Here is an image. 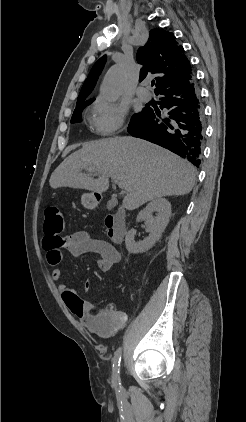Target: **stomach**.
Returning a JSON list of instances; mask_svg holds the SVG:
<instances>
[{"instance_id": "1", "label": "stomach", "mask_w": 246, "mask_h": 422, "mask_svg": "<svg viewBox=\"0 0 246 422\" xmlns=\"http://www.w3.org/2000/svg\"><path fill=\"white\" fill-rule=\"evenodd\" d=\"M81 202L86 208H93L95 205V199L93 194H83L81 197Z\"/></svg>"}]
</instances>
